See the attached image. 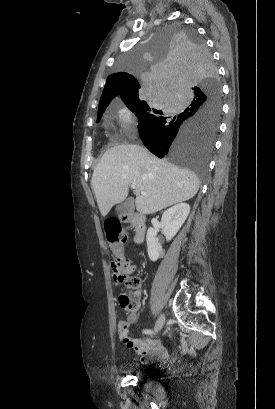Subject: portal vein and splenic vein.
Returning <instances> with one entry per match:
<instances>
[{
  "label": "portal vein and splenic vein",
  "instance_id": "obj_1",
  "mask_svg": "<svg viewBox=\"0 0 275 409\" xmlns=\"http://www.w3.org/2000/svg\"><path fill=\"white\" fill-rule=\"evenodd\" d=\"M132 188H135V184H131ZM141 194H146V192H141Z\"/></svg>",
  "mask_w": 275,
  "mask_h": 409
}]
</instances>
